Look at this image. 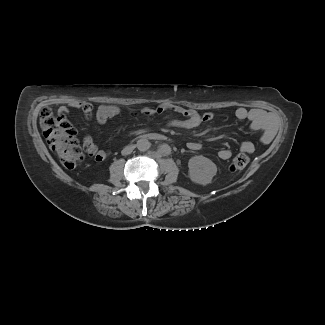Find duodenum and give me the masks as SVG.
<instances>
[{
  "label": "duodenum",
  "instance_id": "1",
  "mask_svg": "<svg viewBox=\"0 0 325 325\" xmlns=\"http://www.w3.org/2000/svg\"><path fill=\"white\" fill-rule=\"evenodd\" d=\"M149 138L155 139V140H163L164 136L162 134H158V133H149L146 135Z\"/></svg>",
  "mask_w": 325,
  "mask_h": 325
}]
</instances>
